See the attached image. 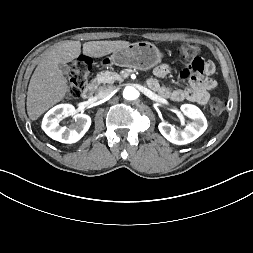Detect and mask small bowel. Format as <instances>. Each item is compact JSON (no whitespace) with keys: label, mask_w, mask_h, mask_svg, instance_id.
<instances>
[{"label":"small bowel","mask_w":253,"mask_h":253,"mask_svg":"<svg viewBox=\"0 0 253 253\" xmlns=\"http://www.w3.org/2000/svg\"><path fill=\"white\" fill-rule=\"evenodd\" d=\"M170 69L167 65H160L154 69V78L148 81V85L157 91L162 97L169 98L175 102L188 100L205 105L210 99V91L217 86L216 81L209 77L215 73V61L204 60L202 57H195L182 67L181 76L189 78V87L186 89L170 90L161 84L160 80L165 78Z\"/></svg>","instance_id":"1"}]
</instances>
